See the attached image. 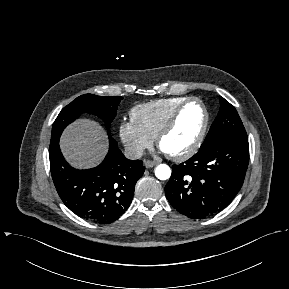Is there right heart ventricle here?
Segmentation results:
<instances>
[{"label":"right heart ventricle","mask_w":289,"mask_h":289,"mask_svg":"<svg viewBox=\"0 0 289 289\" xmlns=\"http://www.w3.org/2000/svg\"><path fill=\"white\" fill-rule=\"evenodd\" d=\"M186 98L169 97L139 104L132 108L131 120L154 139L173 111Z\"/></svg>","instance_id":"e07e8e85"}]
</instances>
